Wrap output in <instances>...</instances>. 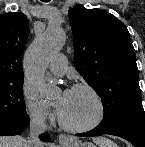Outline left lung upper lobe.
<instances>
[{"label": "left lung upper lobe", "instance_id": "5c2ea615", "mask_svg": "<svg viewBox=\"0 0 145 147\" xmlns=\"http://www.w3.org/2000/svg\"><path fill=\"white\" fill-rule=\"evenodd\" d=\"M69 19L75 68L102 99L104 117L96 128L145 120L135 50L124 23L79 5L69 10Z\"/></svg>", "mask_w": 145, "mask_h": 147}]
</instances>
